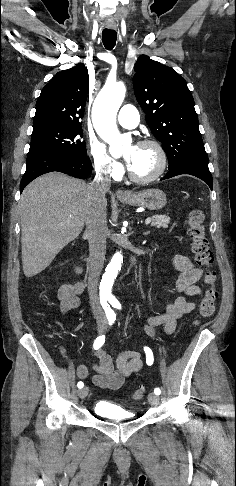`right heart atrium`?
<instances>
[{"instance_id": "obj_1", "label": "right heart atrium", "mask_w": 236, "mask_h": 486, "mask_svg": "<svg viewBox=\"0 0 236 486\" xmlns=\"http://www.w3.org/2000/svg\"><path fill=\"white\" fill-rule=\"evenodd\" d=\"M88 153L95 171L103 176L117 178L122 172L121 164L116 161L98 141H90Z\"/></svg>"}]
</instances>
